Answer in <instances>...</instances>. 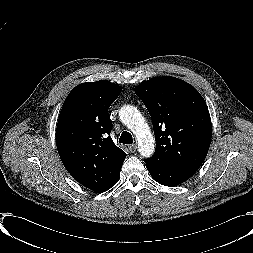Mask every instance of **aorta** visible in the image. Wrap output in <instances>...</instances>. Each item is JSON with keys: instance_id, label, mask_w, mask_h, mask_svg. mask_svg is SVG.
Listing matches in <instances>:
<instances>
[{"instance_id": "1", "label": "aorta", "mask_w": 253, "mask_h": 253, "mask_svg": "<svg viewBox=\"0 0 253 253\" xmlns=\"http://www.w3.org/2000/svg\"><path fill=\"white\" fill-rule=\"evenodd\" d=\"M119 117L122 123L136 136L141 156L151 157L155 150V140L140 111L135 106L125 105L120 109Z\"/></svg>"}]
</instances>
